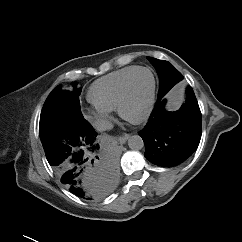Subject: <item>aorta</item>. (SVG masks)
<instances>
[{
  "label": "aorta",
  "mask_w": 242,
  "mask_h": 242,
  "mask_svg": "<svg viewBox=\"0 0 242 242\" xmlns=\"http://www.w3.org/2000/svg\"><path fill=\"white\" fill-rule=\"evenodd\" d=\"M128 146L131 150H141L144 147V142L141 136L132 135L128 138Z\"/></svg>",
  "instance_id": "1"
}]
</instances>
